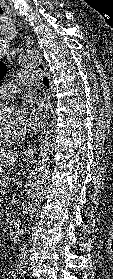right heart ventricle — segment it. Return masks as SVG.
Listing matches in <instances>:
<instances>
[{
  "mask_svg": "<svg viewBox=\"0 0 113 279\" xmlns=\"http://www.w3.org/2000/svg\"><path fill=\"white\" fill-rule=\"evenodd\" d=\"M4 99H5V96L0 93V103H2ZM2 144H3V142L0 141V146Z\"/></svg>",
  "mask_w": 113,
  "mask_h": 279,
  "instance_id": "right-heart-ventricle-1",
  "label": "right heart ventricle"
}]
</instances>
